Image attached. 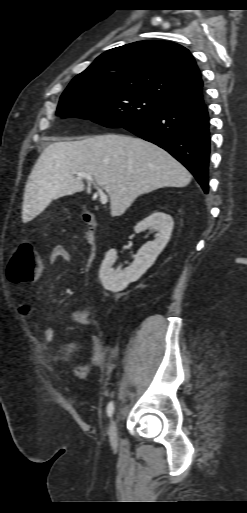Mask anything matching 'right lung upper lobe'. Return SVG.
I'll return each mask as SVG.
<instances>
[{
	"mask_svg": "<svg viewBox=\"0 0 247 513\" xmlns=\"http://www.w3.org/2000/svg\"><path fill=\"white\" fill-rule=\"evenodd\" d=\"M71 82L125 88L168 105L202 99L203 83L194 57L168 41H139L110 49Z\"/></svg>",
	"mask_w": 247,
	"mask_h": 513,
	"instance_id": "1",
	"label": "right lung upper lobe"
}]
</instances>
